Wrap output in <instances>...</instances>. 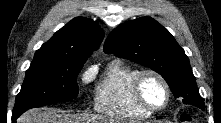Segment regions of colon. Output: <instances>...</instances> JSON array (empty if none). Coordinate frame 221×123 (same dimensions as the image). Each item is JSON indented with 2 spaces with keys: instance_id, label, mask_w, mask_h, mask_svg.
<instances>
[{
  "instance_id": "1",
  "label": "colon",
  "mask_w": 221,
  "mask_h": 123,
  "mask_svg": "<svg viewBox=\"0 0 221 123\" xmlns=\"http://www.w3.org/2000/svg\"><path fill=\"white\" fill-rule=\"evenodd\" d=\"M193 121L191 115L187 114V113H184L182 116H181V122L182 123H191Z\"/></svg>"
}]
</instances>
